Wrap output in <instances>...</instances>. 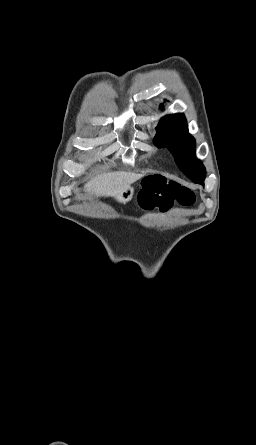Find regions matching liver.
Instances as JSON below:
<instances>
[{
  "label": "liver",
  "instance_id": "obj_1",
  "mask_svg": "<svg viewBox=\"0 0 256 445\" xmlns=\"http://www.w3.org/2000/svg\"><path fill=\"white\" fill-rule=\"evenodd\" d=\"M143 175L130 172H108L90 180L85 189L96 196H116Z\"/></svg>",
  "mask_w": 256,
  "mask_h": 445
}]
</instances>
